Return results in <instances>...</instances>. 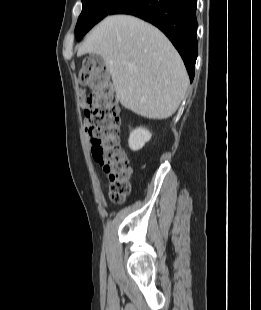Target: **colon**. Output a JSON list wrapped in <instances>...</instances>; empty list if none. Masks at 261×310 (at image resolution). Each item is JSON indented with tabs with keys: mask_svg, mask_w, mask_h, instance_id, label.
Wrapping results in <instances>:
<instances>
[{
	"mask_svg": "<svg viewBox=\"0 0 261 310\" xmlns=\"http://www.w3.org/2000/svg\"><path fill=\"white\" fill-rule=\"evenodd\" d=\"M78 79L91 89L84 101V112L89 120L93 158L103 167L110 200L122 203L130 193L133 171L120 146V108L109 74L86 58L78 70Z\"/></svg>",
	"mask_w": 261,
	"mask_h": 310,
	"instance_id": "1",
	"label": "colon"
}]
</instances>
